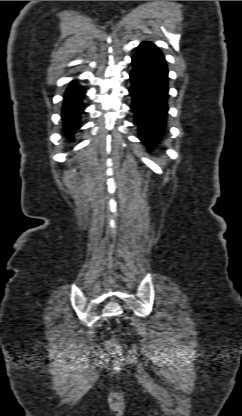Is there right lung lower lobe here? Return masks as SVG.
Segmentation results:
<instances>
[{"label":"right lung lower lobe","instance_id":"1","mask_svg":"<svg viewBox=\"0 0 242 416\" xmlns=\"http://www.w3.org/2000/svg\"><path fill=\"white\" fill-rule=\"evenodd\" d=\"M85 91L76 83L72 82L64 95L62 108L63 126L65 136L73 140V135L80 127V116L84 112L82 100Z\"/></svg>","mask_w":242,"mask_h":416}]
</instances>
